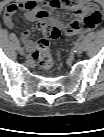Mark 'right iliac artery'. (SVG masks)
I'll list each match as a JSON object with an SVG mask.
<instances>
[{
	"mask_svg": "<svg viewBox=\"0 0 104 137\" xmlns=\"http://www.w3.org/2000/svg\"><path fill=\"white\" fill-rule=\"evenodd\" d=\"M16 45L18 46V48H21V44L19 43V41H16Z\"/></svg>",
	"mask_w": 104,
	"mask_h": 137,
	"instance_id": "82829eb1",
	"label": "right iliac artery"
}]
</instances>
